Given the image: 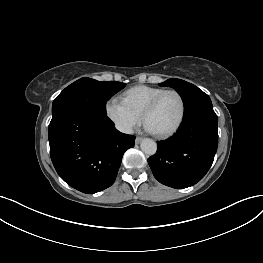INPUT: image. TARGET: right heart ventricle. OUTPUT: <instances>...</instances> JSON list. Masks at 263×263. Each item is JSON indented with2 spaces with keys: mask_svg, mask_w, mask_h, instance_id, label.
I'll return each mask as SVG.
<instances>
[{
  "mask_svg": "<svg viewBox=\"0 0 263 263\" xmlns=\"http://www.w3.org/2000/svg\"><path fill=\"white\" fill-rule=\"evenodd\" d=\"M165 90L161 87L138 85L126 90L122 94V102L133 112L142 116L148 103L160 92Z\"/></svg>",
  "mask_w": 263,
  "mask_h": 263,
  "instance_id": "obj_1",
  "label": "right heart ventricle"
}]
</instances>
